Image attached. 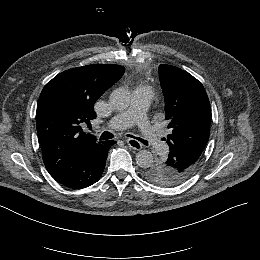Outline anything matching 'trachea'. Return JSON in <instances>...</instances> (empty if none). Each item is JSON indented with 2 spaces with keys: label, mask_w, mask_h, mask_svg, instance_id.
<instances>
[{
  "label": "trachea",
  "mask_w": 260,
  "mask_h": 260,
  "mask_svg": "<svg viewBox=\"0 0 260 260\" xmlns=\"http://www.w3.org/2000/svg\"><path fill=\"white\" fill-rule=\"evenodd\" d=\"M114 137V135L111 133V132H103L100 136V140H108V139H112ZM127 137H130V138H133V139H136L138 141H140L141 143H143L144 145H147L148 142L145 141L144 139L140 138V137H135L133 135H130V134H127Z\"/></svg>",
  "instance_id": "trachea-1"
}]
</instances>
